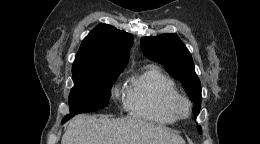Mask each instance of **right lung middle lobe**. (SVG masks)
<instances>
[{
  "instance_id": "obj_1",
  "label": "right lung middle lobe",
  "mask_w": 260,
  "mask_h": 144,
  "mask_svg": "<svg viewBox=\"0 0 260 144\" xmlns=\"http://www.w3.org/2000/svg\"><path fill=\"white\" fill-rule=\"evenodd\" d=\"M122 71L73 75L74 87L69 95L70 114L65 116L62 123L79 113L92 112L106 107L111 87Z\"/></svg>"
}]
</instances>
